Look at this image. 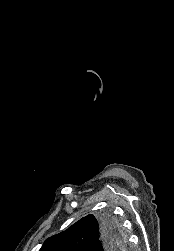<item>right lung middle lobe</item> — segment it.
Here are the masks:
<instances>
[{
	"instance_id": "right-lung-middle-lobe-1",
	"label": "right lung middle lobe",
	"mask_w": 174,
	"mask_h": 251,
	"mask_svg": "<svg viewBox=\"0 0 174 251\" xmlns=\"http://www.w3.org/2000/svg\"><path fill=\"white\" fill-rule=\"evenodd\" d=\"M105 219H107V220L113 222V221L111 220V218H109V217H107V218H105ZM113 223H114V222H113ZM122 245H123V244H122Z\"/></svg>"
}]
</instances>
